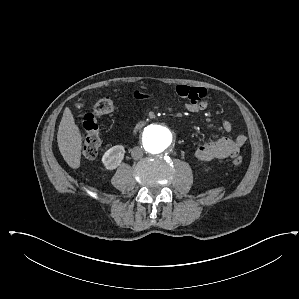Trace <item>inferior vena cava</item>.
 Wrapping results in <instances>:
<instances>
[{
  "label": "inferior vena cava",
  "mask_w": 299,
  "mask_h": 299,
  "mask_svg": "<svg viewBox=\"0 0 299 299\" xmlns=\"http://www.w3.org/2000/svg\"><path fill=\"white\" fill-rule=\"evenodd\" d=\"M131 156L133 159L138 160L143 156V149L141 147H134L131 152Z\"/></svg>",
  "instance_id": "602c4592"
}]
</instances>
